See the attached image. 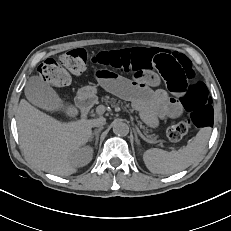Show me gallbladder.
Here are the masks:
<instances>
[{
    "mask_svg": "<svg viewBox=\"0 0 231 231\" xmlns=\"http://www.w3.org/2000/svg\"><path fill=\"white\" fill-rule=\"evenodd\" d=\"M25 95L33 105L42 109L57 108L61 103L53 88L38 76L29 78L25 86Z\"/></svg>",
    "mask_w": 231,
    "mask_h": 231,
    "instance_id": "obj_1",
    "label": "gallbladder"
}]
</instances>
